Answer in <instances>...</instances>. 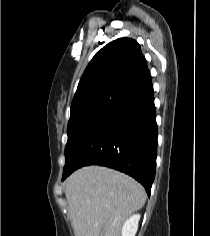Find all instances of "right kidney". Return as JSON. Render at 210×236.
I'll list each match as a JSON object with an SVG mask.
<instances>
[{
	"label": "right kidney",
	"instance_id": "ca27d5eb",
	"mask_svg": "<svg viewBox=\"0 0 210 236\" xmlns=\"http://www.w3.org/2000/svg\"><path fill=\"white\" fill-rule=\"evenodd\" d=\"M139 220V214H135L127 219L122 227V236H135L138 229Z\"/></svg>",
	"mask_w": 210,
	"mask_h": 236
}]
</instances>
